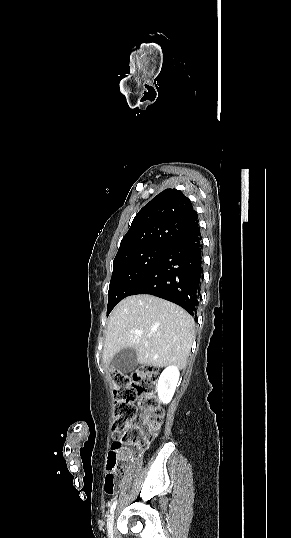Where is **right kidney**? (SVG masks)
Masks as SVG:
<instances>
[{
    "label": "right kidney",
    "mask_w": 291,
    "mask_h": 538,
    "mask_svg": "<svg viewBox=\"0 0 291 538\" xmlns=\"http://www.w3.org/2000/svg\"><path fill=\"white\" fill-rule=\"evenodd\" d=\"M179 376L178 367L174 365L166 367L161 373L157 384V392L159 400L163 404H168L171 401Z\"/></svg>",
    "instance_id": "obj_1"
}]
</instances>
